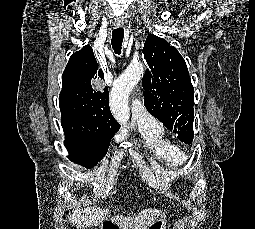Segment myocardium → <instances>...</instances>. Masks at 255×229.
<instances>
[{
    "mask_svg": "<svg viewBox=\"0 0 255 229\" xmlns=\"http://www.w3.org/2000/svg\"><path fill=\"white\" fill-rule=\"evenodd\" d=\"M175 152L180 153L181 154V160L184 161L185 160V156L182 153V151L180 149H178L177 147H174Z\"/></svg>",
    "mask_w": 255,
    "mask_h": 229,
    "instance_id": "1",
    "label": "myocardium"
}]
</instances>
